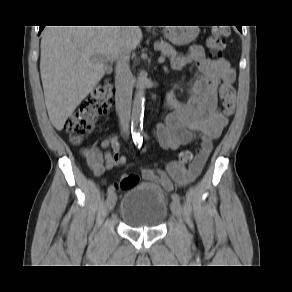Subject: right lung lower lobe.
Segmentation results:
<instances>
[{"label":"right lung lower lobe","mask_w":292,"mask_h":292,"mask_svg":"<svg viewBox=\"0 0 292 292\" xmlns=\"http://www.w3.org/2000/svg\"><path fill=\"white\" fill-rule=\"evenodd\" d=\"M44 27H45V26H40L39 34H40V32L43 30Z\"/></svg>","instance_id":"right-lung-lower-lobe-1"}]
</instances>
